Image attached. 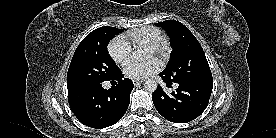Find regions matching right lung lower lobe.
Returning <instances> with one entry per match:
<instances>
[{
    "label": "right lung lower lobe",
    "mask_w": 276,
    "mask_h": 138,
    "mask_svg": "<svg viewBox=\"0 0 276 138\" xmlns=\"http://www.w3.org/2000/svg\"><path fill=\"white\" fill-rule=\"evenodd\" d=\"M121 70L111 79L114 86L106 90L102 82L68 90V101L77 119L92 128H106L117 123L125 114L133 82L123 78Z\"/></svg>",
    "instance_id": "right-lung-lower-lobe-1"
}]
</instances>
